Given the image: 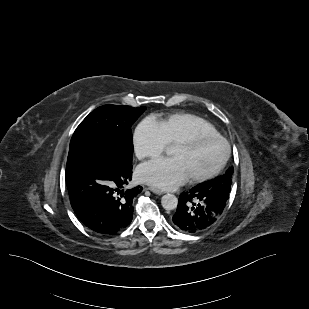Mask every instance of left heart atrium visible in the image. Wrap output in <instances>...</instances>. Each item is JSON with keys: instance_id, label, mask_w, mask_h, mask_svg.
Returning a JSON list of instances; mask_svg holds the SVG:
<instances>
[{"instance_id": "39dd6f15", "label": "left heart atrium", "mask_w": 309, "mask_h": 309, "mask_svg": "<svg viewBox=\"0 0 309 309\" xmlns=\"http://www.w3.org/2000/svg\"><path fill=\"white\" fill-rule=\"evenodd\" d=\"M136 176L143 183L163 189L175 188L189 179L182 162L176 157L144 163L138 167Z\"/></svg>"}]
</instances>
